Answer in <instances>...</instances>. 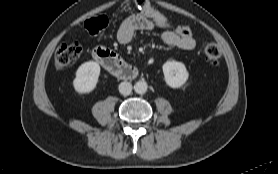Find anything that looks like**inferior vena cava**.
<instances>
[{
  "mask_svg": "<svg viewBox=\"0 0 278 174\" xmlns=\"http://www.w3.org/2000/svg\"><path fill=\"white\" fill-rule=\"evenodd\" d=\"M119 92L124 96L129 95L132 92V84L130 82H121L119 84Z\"/></svg>",
  "mask_w": 278,
  "mask_h": 174,
  "instance_id": "1",
  "label": "inferior vena cava"
}]
</instances>
